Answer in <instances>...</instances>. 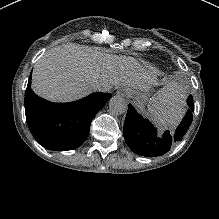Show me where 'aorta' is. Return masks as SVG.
Wrapping results in <instances>:
<instances>
[{
  "label": "aorta",
  "mask_w": 219,
  "mask_h": 219,
  "mask_svg": "<svg viewBox=\"0 0 219 219\" xmlns=\"http://www.w3.org/2000/svg\"><path fill=\"white\" fill-rule=\"evenodd\" d=\"M108 105L110 113L114 116L122 115L127 111V104L125 100L117 96L111 98Z\"/></svg>",
  "instance_id": "aorta-1"
}]
</instances>
